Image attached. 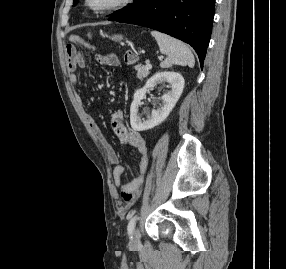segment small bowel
Segmentation results:
<instances>
[{
	"instance_id": "obj_1",
	"label": "small bowel",
	"mask_w": 286,
	"mask_h": 269,
	"mask_svg": "<svg viewBox=\"0 0 286 269\" xmlns=\"http://www.w3.org/2000/svg\"><path fill=\"white\" fill-rule=\"evenodd\" d=\"M97 61L100 64L108 66H119L120 62L118 57L114 53H106L97 56ZM66 62L69 71V79L71 83L77 84L79 82L78 69L86 67L85 58L79 54L73 45H68L66 48ZM86 122L90 129L99 137H102L101 131L93 118L89 113L85 114ZM111 128L118 136L120 141L135 148L140 156L139 161V173L130 181L122 184L121 177L126 171V167L119 164V157L115 150L107 144V159L109 164L114 165L113 179L116 189L122 191H129L132 196L139 193L140 187L144 181V175L148 168V153L147 144L145 138L137 131L131 129L124 120L122 112H115L111 116Z\"/></svg>"
}]
</instances>
